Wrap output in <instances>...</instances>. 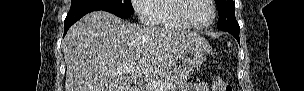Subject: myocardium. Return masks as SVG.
<instances>
[{
  "instance_id": "1",
  "label": "myocardium",
  "mask_w": 304,
  "mask_h": 91,
  "mask_svg": "<svg viewBox=\"0 0 304 91\" xmlns=\"http://www.w3.org/2000/svg\"><path fill=\"white\" fill-rule=\"evenodd\" d=\"M207 2L210 4L212 8L213 15H212V19L206 24H197L190 19L188 10L190 8L191 0H179L177 5V14L179 18L184 23H186L190 28H195V29L208 28L215 22L217 10H216L215 2L213 0H207Z\"/></svg>"
}]
</instances>
